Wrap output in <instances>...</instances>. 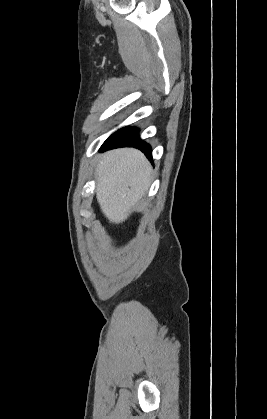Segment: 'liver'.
Wrapping results in <instances>:
<instances>
[{
    "label": "liver",
    "mask_w": 267,
    "mask_h": 419,
    "mask_svg": "<svg viewBox=\"0 0 267 419\" xmlns=\"http://www.w3.org/2000/svg\"><path fill=\"white\" fill-rule=\"evenodd\" d=\"M151 165L134 148L111 150L96 167V198L101 211L112 223L124 222L149 186Z\"/></svg>",
    "instance_id": "1"
}]
</instances>
